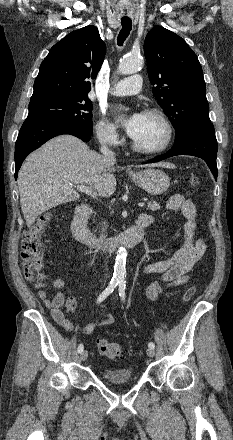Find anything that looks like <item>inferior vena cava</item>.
<instances>
[{
    "label": "inferior vena cava",
    "instance_id": "obj_1",
    "mask_svg": "<svg viewBox=\"0 0 233 440\" xmlns=\"http://www.w3.org/2000/svg\"><path fill=\"white\" fill-rule=\"evenodd\" d=\"M100 151H101V153L103 154V156H104L109 162H111V163H115V161H116V159H115V153L112 152V151L108 148L106 142H102V143H101ZM105 224H106V223L104 222V226L102 227V232H101V234H100V240H101V242H102L104 245H106V243H107V242H106V236H107V233L105 234L106 229H107V226H106Z\"/></svg>",
    "mask_w": 233,
    "mask_h": 440
}]
</instances>
